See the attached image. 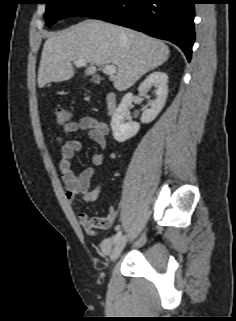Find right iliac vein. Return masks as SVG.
I'll return each mask as SVG.
<instances>
[{
  "instance_id": "right-iliac-vein-1",
  "label": "right iliac vein",
  "mask_w": 236,
  "mask_h": 321,
  "mask_svg": "<svg viewBox=\"0 0 236 321\" xmlns=\"http://www.w3.org/2000/svg\"><path fill=\"white\" fill-rule=\"evenodd\" d=\"M125 245H126V238L125 237L120 238L110 254V259L112 261L116 260L119 257Z\"/></svg>"
}]
</instances>
